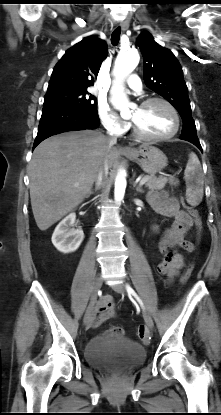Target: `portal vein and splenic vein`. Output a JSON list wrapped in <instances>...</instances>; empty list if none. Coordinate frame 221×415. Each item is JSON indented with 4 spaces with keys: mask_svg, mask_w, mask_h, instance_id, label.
<instances>
[{
    "mask_svg": "<svg viewBox=\"0 0 221 415\" xmlns=\"http://www.w3.org/2000/svg\"><path fill=\"white\" fill-rule=\"evenodd\" d=\"M147 180H148V178H147V177H144V178L140 179V181H139V185H140V186L144 185V184L147 182ZM76 186H77V185H76Z\"/></svg>",
    "mask_w": 221,
    "mask_h": 415,
    "instance_id": "1",
    "label": "portal vein and splenic vein"
}]
</instances>
